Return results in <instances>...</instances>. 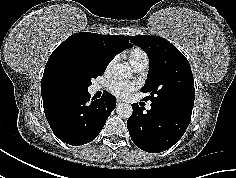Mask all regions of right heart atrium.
<instances>
[{
    "label": "right heart atrium",
    "mask_w": 236,
    "mask_h": 178,
    "mask_svg": "<svg viewBox=\"0 0 236 178\" xmlns=\"http://www.w3.org/2000/svg\"><path fill=\"white\" fill-rule=\"evenodd\" d=\"M112 64H113V61L109 62V64H108L107 67H106V71H109V70H110Z\"/></svg>",
    "instance_id": "d8ad5b80"
}]
</instances>
